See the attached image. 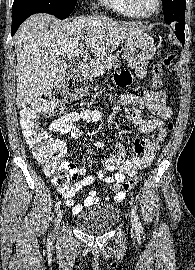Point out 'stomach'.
Segmentation results:
<instances>
[{
    "mask_svg": "<svg viewBox=\"0 0 195 270\" xmlns=\"http://www.w3.org/2000/svg\"><path fill=\"white\" fill-rule=\"evenodd\" d=\"M155 49L153 38L146 33L136 34L125 40L124 58L138 77L143 78L146 75L147 65L154 56Z\"/></svg>",
    "mask_w": 195,
    "mask_h": 270,
    "instance_id": "obj_1",
    "label": "stomach"
}]
</instances>
